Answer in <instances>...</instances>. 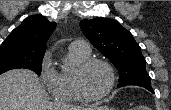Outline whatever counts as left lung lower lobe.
I'll return each instance as SVG.
<instances>
[{"instance_id":"1","label":"left lung lower lobe","mask_w":171,"mask_h":110,"mask_svg":"<svg viewBox=\"0 0 171 110\" xmlns=\"http://www.w3.org/2000/svg\"><path fill=\"white\" fill-rule=\"evenodd\" d=\"M146 89L149 90L150 92L154 93L152 87H147Z\"/></svg>"}]
</instances>
